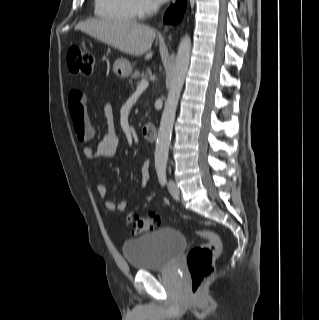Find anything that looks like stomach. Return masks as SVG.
Masks as SVG:
<instances>
[{"label": "stomach", "instance_id": "stomach-1", "mask_svg": "<svg viewBox=\"0 0 319 320\" xmlns=\"http://www.w3.org/2000/svg\"><path fill=\"white\" fill-rule=\"evenodd\" d=\"M113 72L119 78H127L132 72L131 63L124 58L117 59L113 65Z\"/></svg>", "mask_w": 319, "mask_h": 320}]
</instances>
